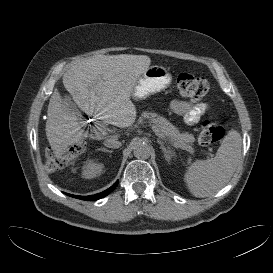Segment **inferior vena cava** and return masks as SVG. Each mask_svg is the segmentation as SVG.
<instances>
[{
  "label": "inferior vena cava",
  "instance_id": "1",
  "mask_svg": "<svg viewBox=\"0 0 273 273\" xmlns=\"http://www.w3.org/2000/svg\"><path fill=\"white\" fill-rule=\"evenodd\" d=\"M104 145L106 147L116 149V148L121 147V142L116 139H113V138H107L104 140Z\"/></svg>",
  "mask_w": 273,
  "mask_h": 273
}]
</instances>
